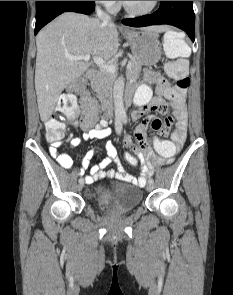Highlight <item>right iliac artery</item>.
Returning <instances> with one entry per match:
<instances>
[{
	"mask_svg": "<svg viewBox=\"0 0 233 295\" xmlns=\"http://www.w3.org/2000/svg\"><path fill=\"white\" fill-rule=\"evenodd\" d=\"M115 127H116V132L118 134H120L122 131V120L121 119L118 118L115 120Z\"/></svg>",
	"mask_w": 233,
	"mask_h": 295,
	"instance_id": "82829eb1",
	"label": "right iliac artery"
}]
</instances>
